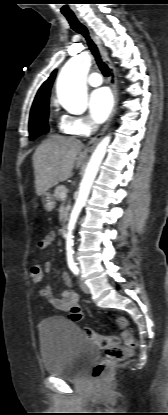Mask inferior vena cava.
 <instances>
[{
    "label": "inferior vena cava",
    "mask_w": 168,
    "mask_h": 415,
    "mask_svg": "<svg viewBox=\"0 0 168 415\" xmlns=\"http://www.w3.org/2000/svg\"><path fill=\"white\" fill-rule=\"evenodd\" d=\"M98 126L96 124H93V131H96Z\"/></svg>",
    "instance_id": "602c4592"
}]
</instances>
